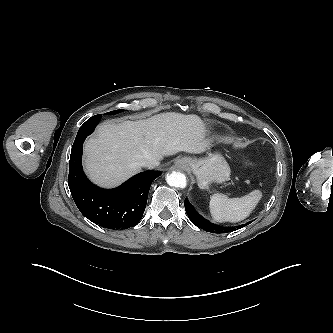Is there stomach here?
<instances>
[{"label":"stomach","mask_w":333,"mask_h":333,"mask_svg":"<svg viewBox=\"0 0 333 333\" xmlns=\"http://www.w3.org/2000/svg\"><path fill=\"white\" fill-rule=\"evenodd\" d=\"M188 168L196 175L199 188L204 189L213 183H222L229 180L230 167L220 154L209 155L205 158H189Z\"/></svg>","instance_id":"1"}]
</instances>
